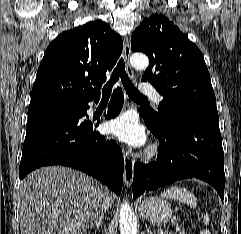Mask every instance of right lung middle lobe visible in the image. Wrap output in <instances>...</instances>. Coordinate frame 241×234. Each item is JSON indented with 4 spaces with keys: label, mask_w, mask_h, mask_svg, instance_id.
Wrapping results in <instances>:
<instances>
[{
    "label": "right lung middle lobe",
    "mask_w": 241,
    "mask_h": 234,
    "mask_svg": "<svg viewBox=\"0 0 241 234\" xmlns=\"http://www.w3.org/2000/svg\"><path fill=\"white\" fill-rule=\"evenodd\" d=\"M80 105L66 102H46L29 105L28 118L70 112L79 108Z\"/></svg>",
    "instance_id": "1"
}]
</instances>
